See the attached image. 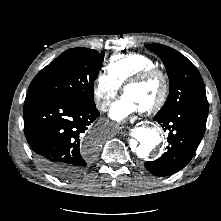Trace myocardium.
I'll return each instance as SVG.
<instances>
[{
  "label": "myocardium",
  "mask_w": 221,
  "mask_h": 221,
  "mask_svg": "<svg viewBox=\"0 0 221 221\" xmlns=\"http://www.w3.org/2000/svg\"><path fill=\"white\" fill-rule=\"evenodd\" d=\"M158 80L161 84V92L157 100L148 107L141 109L142 113L151 114L159 111L167 101L169 95V82L167 76L158 68L145 69L129 78L123 85V92L132 86L147 81Z\"/></svg>",
  "instance_id": "obj_1"
}]
</instances>
